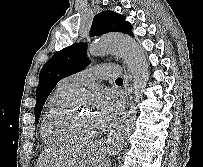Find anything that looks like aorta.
<instances>
[{
	"label": "aorta",
	"mask_w": 203,
	"mask_h": 167,
	"mask_svg": "<svg viewBox=\"0 0 203 167\" xmlns=\"http://www.w3.org/2000/svg\"><path fill=\"white\" fill-rule=\"evenodd\" d=\"M88 52L92 57L107 54L122 57L130 68L136 98L142 96L149 80V66L144 50L133 38L120 34L103 35L91 43ZM134 109L133 106L122 116L106 139V152L109 156L117 155L128 140L134 126Z\"/></svg>",
	"instance_id": "aorta-1"
}]
</instances>
